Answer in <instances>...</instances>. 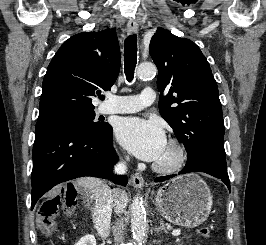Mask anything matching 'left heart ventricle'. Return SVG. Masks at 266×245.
<instances>
[{"mask_svg": "<svg viewBox=\"0 0 266 245\" xmlns=\"http://www.w3.org/2000/svg\"><path fill=\"white\" fill-rule=\"evenodd\" d=\"M176 157H177L176 148L170 146L169 144H166L163 152L161 153L160 157L156 162L162 165H170L175 161Z\"/></svg>", "mask_w": 266, "mask_h": 245, "instance_id": "b2bd125f", "label": "left heart ventricle"}]
</instances>
